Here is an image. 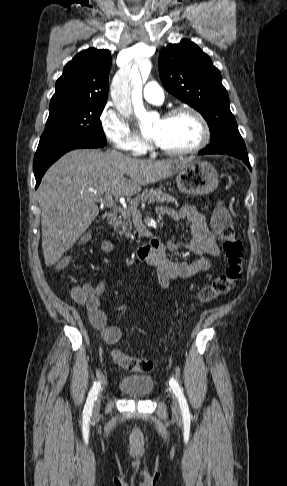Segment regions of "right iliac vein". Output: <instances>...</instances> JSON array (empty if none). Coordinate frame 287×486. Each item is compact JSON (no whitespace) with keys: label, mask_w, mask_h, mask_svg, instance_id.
Wrapping results in <instances>:
<instances>
[{"label":"right iliac vein","mask_w":287,"mask_h":486,"mask_svg":"<svg viewBox=\"0 0 287 486\" xmlns=\"http://www.w3.org/2000/svg\"><path fill=\"white\" fill-rule=\"evenodd\" d=\"M100 404H101V395L98 394L97 397H96V400L94 402V406H93V412H94V414H96V413L99 412Z\"/></svg>","instance_id":"obj_1"}]
</instances>
